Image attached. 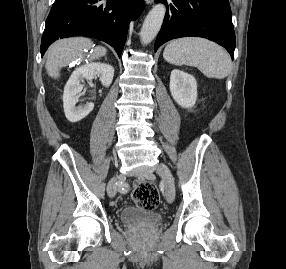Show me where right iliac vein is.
Listing matches in <instances>:
<instances>
[{
  "label": "right iliac vein",
  "mask_w": 286,
  "mask_h": 269,
  "mask_svg": "<svg viewBox=\"0 0 286 269\" xmlns=\"http://www.w3.org/2000/svg\"><path fill=\"white\" fill-rule=\"evenodd\" d=\"M121 175L114 176L107 185V192L110 197H114L116 194V184L119 179H121Z\"/></svg>",
  "instance_id": "63e3f726"
}]
</instances>
